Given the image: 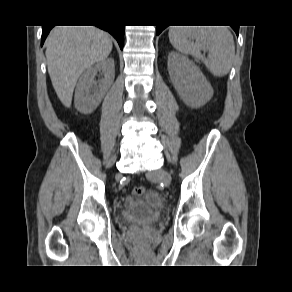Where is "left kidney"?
<instances>
[{
  "label": "left kidney",
  "instance_id": "obj_1",
  "mask_svg": "<svg viewBox=\"0 0 292 292\" xmlns=\"http://www.w3.org/2000/svg\"><path fill=\"white\" fill-rule=\"evenodd\" d=\"M167 64L171 82L186 105L199 108L212 98L210 83L193 61L177 52H170Z\"/></svg>",
  "mask_w": 292,
  "mask_h": 292
}]
</instances>
